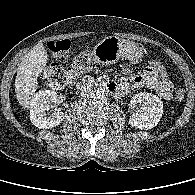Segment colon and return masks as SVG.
Returning a JSON list of instances; mask_svg holds the SVG:
<instances>
[{"instance_id":"1","label":"colon","mask_w":195,"mask_h":195,"mask_svg":"<svg viewBox=\"0 0 195 195\" xmlns=\"http://www.w3.org/2000/svg\"><path fill=\"white\" fill-rule=\"evenodd\" d=\"M47 48L57 60L64 61L69 56L72 43L67 39L52 41L47 44ZM90 64L91 52L86 48L71 66L64 67L58 63L50 64L44 70L43 77L49 86L61 89L74 83L77 77L90 67ZM146 71L160 80L168 79L167 71L157 61L149 62ZM174 99L178 102L182 101L184 99V91L182 89L176 90Z\"/></svg>"}]
</instances>
